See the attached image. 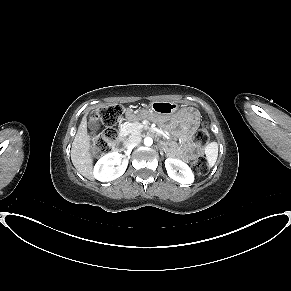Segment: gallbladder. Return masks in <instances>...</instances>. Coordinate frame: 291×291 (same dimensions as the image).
<instances>
[{
    "label": "gallbladder",
    "instance_id": "gallbladder-1",
    "mask_svg": "<svg viewBox=\"0 0 291 291\" xmlns=\"http://www.w3.org/2000/svg\"><path fill=\"white\" fill-rule=\"evenodd\" d=\"M88 127L91 131L96 132L99 129V122L98 119L95 117H91L88 120Z\"/></svg>",
    "mask_w": 291,
    "mask_h": 291
}]
</instances>
